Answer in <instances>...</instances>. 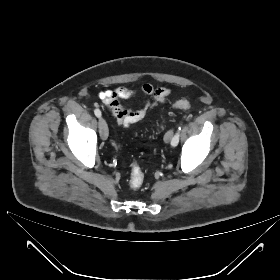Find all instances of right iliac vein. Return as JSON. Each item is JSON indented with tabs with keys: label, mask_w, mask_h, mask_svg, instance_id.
Instances as JSON below:
<instances>
[{
	"label": "right iliac vein",
	"mask_w": 280,
	"mask_h": 280,
	"mask_svg": "<svg viewBox=\"0 0 280 280\" xmlns=\"http://www.w3.org/2000/svg\"><path fill=\"white\" fill-rule=\"evenodd\" d=\"M99 133L102 140H106L108 137V126L105 119H99Z\"/></svg>",
	"instance_id": "obj_1"
}]
</instances>
